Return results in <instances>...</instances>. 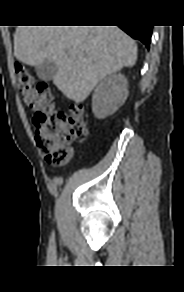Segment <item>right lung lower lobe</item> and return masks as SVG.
<instances>
[{"mask_svg":"<svg viewBox=\"0 0 184 292\" xmlns=\"http://www.w3.org/2000/svg\"><path fill=\"white\" fill-rule=\"evenodd\" d=\"M132 38L140 40L147 48L150 46L152 26L148 25H124L119 26Z\"/></svg>","mask_w":184,"mask_h":292,"instance_id":"1","label":"right lung lower lobe"}]
</instances>
